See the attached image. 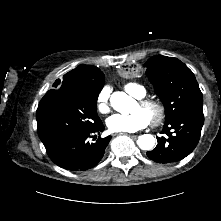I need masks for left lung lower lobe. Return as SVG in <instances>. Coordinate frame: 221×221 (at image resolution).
I'll return each instance as SVG.
<instances>
[{"mask_svg":"<svg viewBox=\"0 0 221 221\" xmlns=\"http://www.w3.org/2000/svg\"><path fill=\"white\" fill-rule=\"evenodd\" d=\"M203 124L202 108H196L186 114L177 116L170 122H166L162 131L164 136L157 137L158 144L156 148L148 151L147 156L157 163H172L182 160L198 144ZM170 145H174L176 151L172 156L165 158L162 149Z\"/></svg>","mask_w":221,"mask_h":221,"instance_id":"left-lung-lower-lobe-1","label":"left lung lower lobe"}]
</instances>
